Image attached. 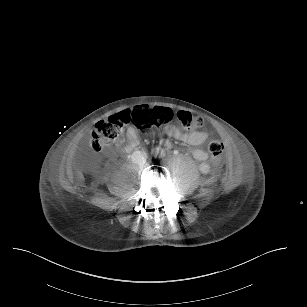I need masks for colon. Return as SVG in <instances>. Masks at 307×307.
<instances>
[{"instance_id": "1", "label": "colon", "mask_w": 307, "mask_h": 307, "mask_svg": "<svg viewBox=\"0 0 307 307\" xmlns=\"http://www.w3.org/2000/svg\"><path fill=\"white\" fill-rule=\"evenodd\" d=\"M176 117L181 127L187 130L197 129L204 125V121L193 116L186 110H173L166 107L138 106L121 115H113L107 120L100 119L90 136V146L93 152H100L107 144L115 140L125 124L135 125L141 132L150 133L160 130L162 126ZM223 144L216 138H211L208 151L214 164H218L223 156Z\"/></svg>"}]
</instances>
